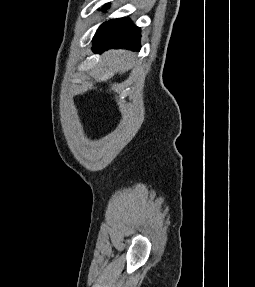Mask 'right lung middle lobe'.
I'll return each instance as SVG.
<instances>
[{"instance_id": "obj_1", "label": "right lung middle lobe", "mask_w": 255, "mask_h": 287, "mask_svg": "<svg viewBox=\"0 0 255 287\" xmlns=\"http://www.w3.org/2000/svg\"><path fill=\"white\" fill-rule=\"evenodd\" d=\"M106 8H109V5H108V4H105L102 10H104V9H106Z\"/></svg>"}]
</instances>
